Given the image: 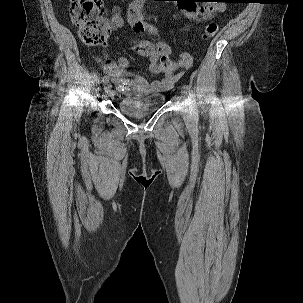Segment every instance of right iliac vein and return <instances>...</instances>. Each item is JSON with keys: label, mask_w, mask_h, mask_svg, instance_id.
I'll return each mask as SVG.
<instances>
[{"label": "right iliac vein", "mask_w": 303, "mask_h": 303, "mask_svg": "<svg viewBox=\"0 0 303 303\" xmlns=\"http://www.w3.org/2000/svg\"><path fill=\"white\" fill-rule=\"evenodd\" d=\"M111 89V84L109 83V81L107 83L104 84V90L105 92H109Z\"/></svg>", "instance_id": "right-iliac-vein-1"}]
</instances>
